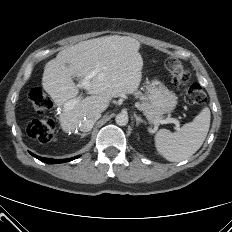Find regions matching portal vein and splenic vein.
<instances>
[{
	"label": "portal vein and splenic vein",
	"instance_id": "18ae733b",
	"mask_svg": "<svg viewBox=\"0 0 232 232\" xmlns=\"http://www.w3.org/2000/svg\"><path fill=\"white\" fill-rule=\"evenodd\" d=\"M97 75V71L94 70L92 71L88 76H86L85 78H83L79 83H78V86L79 87H87L89 86V83H90V79L93 78L94 76ZM80 101V97H77V98H74V99H71L69 101H67L65 104H64V109L65 110H70L72 109L78 102ZM152 122L154 124H168V123H174L175 124V129L176 130H179L180 129V122L175 119V118H166V119H162V118H158V119H154L152 120Z\"/></svg>",
	"mask_w": 232,
	"mask_h": 232
}]
</instances>
